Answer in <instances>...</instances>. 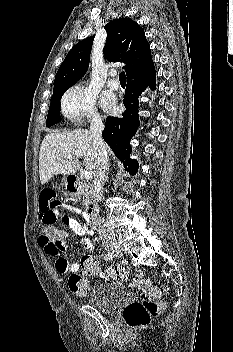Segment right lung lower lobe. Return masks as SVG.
Returning <instances> with one entry per match:
<instances>
[{
    "mask_svg": "<svg viewBox=\"0 0 233 352\" xmlns=\"http://www.w3.org/2000/svg\"><path fill=\"white\" fill-rule=\"evenodd\" d=\"M155 68L147 73L128 79L123 103L126 107L122 117H108L105 129L102 132L103 139L113 150L117 158L123 163L124 168L132 175L136 174L138 164L136 160L130 159V139L135 135L139 127L138 97L146 88H155Z\"/></svg>",
    "mask_w": 233,
    "mask_h": 352,
    "instance_id": "1",
    "label": "right lung lower lobe"
}]
</instances>
